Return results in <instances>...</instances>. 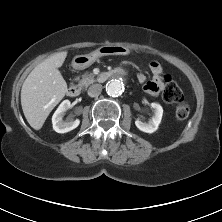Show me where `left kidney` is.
Listing matches in <instances>:
<instances>
[{
  "mask_svg": "<svg viewBox=\"0 0 222 222\" xmlns=\"http://www.w3.org/2000/svg\"><path fill=\"white\" fill-rule=\"evenodd\" d=\"M151 108H153L154 115L146 123L140 120L135 121L136 127L146 133H153L157 130L163 115V108L158 103H151Z\"/></svg>",
  "mask_w": 222,
  "mask_h": 222,
  "instance_id": "5707ae66",
  "label": "left kidney"
}]
</instances>
